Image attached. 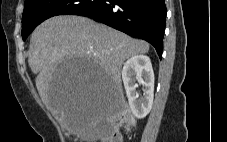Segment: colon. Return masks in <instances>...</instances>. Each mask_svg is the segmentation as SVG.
Instances as JSON below:
<instances>
[{"label":"colon","instance_id":"obj_1","mask_svg":"<svg viewBox=\"0 0 227 142\" xmlns=\"http://www.w3.org/2000/svg\"><path fill=\"white\" fill-rule=\"evenodd\" d=\"M135 121L126 111L119 110L115 113L102 129L101 142H122L120 128L125 125L127 128L133 127Z\"/></svg>","mask_w":227,"mask_h":142}]
</instances>
